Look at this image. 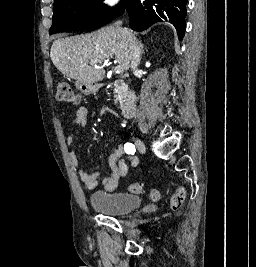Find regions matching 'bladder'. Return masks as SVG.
<instances>
[{
  "label": "bladder",
  "mask_w": 256,
  "mask_h": 267,
  "mask_svg": "<svg viewBox=\"0 0 256 267\" xmlns=\"http://www.w3.org/2000/svg\"><path fill=\"white\" fill-rule=\"evenodd\" d=\"M90 203L92 208L101 213L122 214L141 206L142 199L138 195L124 192H96L90 195Z\"/></svg>",
  "instance_id": "bladder-1"
}]
</instances>
